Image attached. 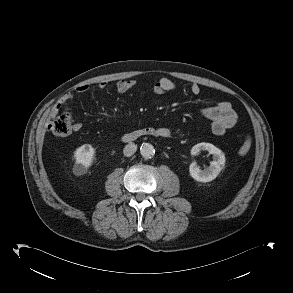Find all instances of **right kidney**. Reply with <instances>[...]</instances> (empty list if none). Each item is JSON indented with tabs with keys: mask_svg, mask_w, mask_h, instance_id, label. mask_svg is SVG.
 Segmentation results:
<instances>
[{
	"mask_svg": "<svg viewBox=\"0 0 293 293\" xmlns=\"http://www.w3.org/2000/svg\"><path fill=\"white\" fill-rule=\"evenodd\" d=\"M94 155L95 149L89 144L77 148L74 152L75 166L73 173L77 176L85 174L93 163Z\"/></svg>",
	"mask_w": 293,
	"mask_h": 293,
	"instance_id": "1",
	"label": "right kidney"
}]
</instances>
